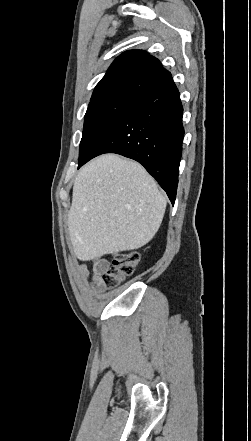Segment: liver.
<instances>
[{
    "instance_id": "liver-1",
    "label": "liver",
    "mask_w": 251,
    "mask_h": 441,
    "mask_svg": "<svg viewBox=\"0 0 251 441\" xmlns=\"http://www.w3.org/2000/svg\"><path fill=\"white\" fill-rule=\"evenodd\" d=\"M167 200L137 162L101 155L82 167L73 185L68 229L82 261L136 250L157 233Z\"/></svg>"
}]
</instances>
